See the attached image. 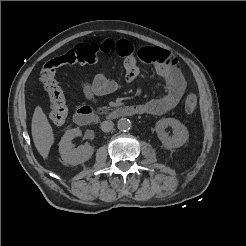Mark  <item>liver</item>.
I'll list each match as a JSON object with an SVG mask.
<instances>
[{"label": "liver", "instance_id": "1", "mask_svg": "<svg viewBox=\"0 0 246 246\" xmlns=\"http://www.w3.org/2000/svg\"><path fill=\"white\" fill-rule=\"evenodd\" d=\"M31 132L37 151L44 159H47L50 148L54 143V134L53 129L40 106H37L34 110Z\"/></svg>", "mask_w": 246, "mask_h": 246}]
</instances>
